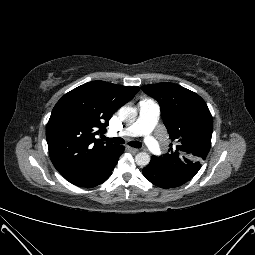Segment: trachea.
Here are the masks:
<instances>
[{"mask_svg":"<svg viewBox=\"0 0 255 255\" xmlns=\"http://www.w3.org/2000/svg\"><path fill=\"white\" fill-rule=\"evenodd\" d=\"M106 141L111 142V143H116V144H124V139L122 138H104ZM130 146L134 147V148H140L142 146V144L140 142L137 141H131L128 143Z\"/></svg>","mask_w":255,"mask_h":255,"instance_id":"obj_1","label":"trachea"}]
</instances>
